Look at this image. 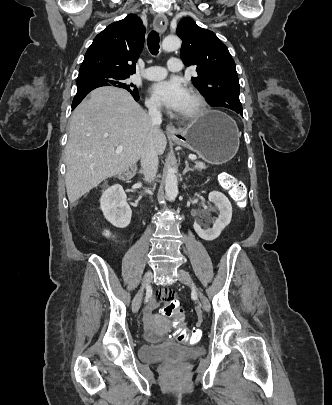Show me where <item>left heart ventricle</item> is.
Returning a JSON list of instances; mask_svg holds the SVG:
<instances>
[{"label":"left heart ventricle","instance_id":"left-heart-ventricle-1","mask_svg":"<svg viewBox=\"0 0 332 405\" xmlns=\"http://www.w3.org/2000/svg\"><path fill=\"white\" fill-rule=\"evenodd\" d=\"M195 107V102L193 100V98L191 97V95L188 93L185 104L183 106V108L181 109L180 114H188L191 111H193Z\"/></svg>","mask_w":332,"mask_h":405}]
</instances>
